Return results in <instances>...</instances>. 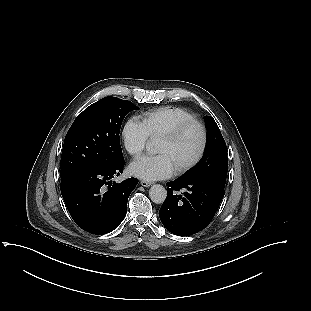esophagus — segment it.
<instances>
[{
    "mask_svg": "<svg viewBox=\"0 0 311 311\" xmlns=\"http://www.w3.org/2000/svg\"><path fill=\"white\" fill-rule=\"evenodd\" d=\"M140 184H141L143 187H149V186L152 185L151 182H147V181H145V180H142V181L140 182Z\"/></svg>",
    "mask_w": 311,
    "mask_h": 311,
    "instance_id": "1",
    "label": "esophagus"
}]
</instances>
